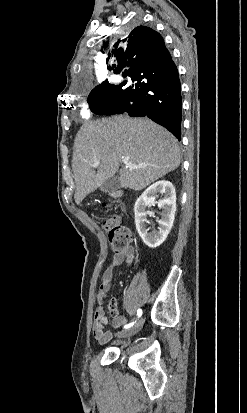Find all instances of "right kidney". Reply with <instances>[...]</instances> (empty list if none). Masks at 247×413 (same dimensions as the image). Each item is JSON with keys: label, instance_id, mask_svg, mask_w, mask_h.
<instances>
[{"label": "right kidney", "instance_id": "ca27d5eb", "mask_svg": "<svg viewBox=\"0 0 247 413\" xmlns=\"http://www.w3.org/2000/svg\"><path fill=\"white\" fill-rule=\"evenodd\" d=\"M158 192L164 194L163 198L158 200L159 209H163L159 223L158 231H153L149 233L146 223V209L154 204ZM176 211V192L175 186H173L170 180H157L151 186H148L141 196L137 198L134 204L135 213V225L136 229L145 245L150 247V249H156L159 245L164 243L167 239L174 223V215Z\"/></svg>", "mask_w": 247, "mask_h": 413}]
</instances>
